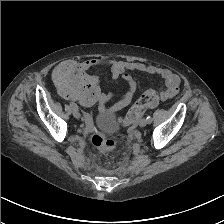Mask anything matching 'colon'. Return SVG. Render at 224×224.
I'll return each mask as SVG.
<instances>
[{
	"instance_id": "colon-1",
	"label": "colon",
	"mask_w": 224,
	"mask_h": 224,
	"mask_svg": "<svg viewBox=\"0 0 224 224\" xmlns=\"http://www.w3.org/2000/svg\"><path fill=\"white\" fill-rule=\"evenodd\" d=\"M53 79L62 91L63 96L82 105H91L99 99L97 79L88 74L83 66L74 61L59 64L53 71ZM159 97L154 91L146 92L130 109L121 124L132 126L140 112L155 105ZM92 144L101 152H111L116 147V142L105 133H97L92 136Z\"/></svg>"
}]
</instances>
